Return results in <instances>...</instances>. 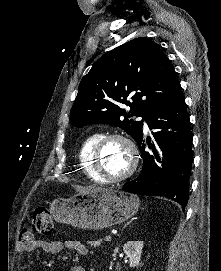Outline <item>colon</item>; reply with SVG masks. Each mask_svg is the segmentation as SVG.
<instances>
[{"mask_svg": "<svg viewBox=\"0 0 221 271\" xmlns=\"http://www.w3.org/2000/svg\"><path fill=\"white\" fill-rule=\"evenodd\" d=\"M53 230V222L46 208H37L31 222L25 226L20 234L24 243L34 240L35 235L50 234Z\"/></svg>", "mask_w": 221, "mask_h": 271, "instance_id": "5ec220e1", "label": "colon"}]
</instances>
